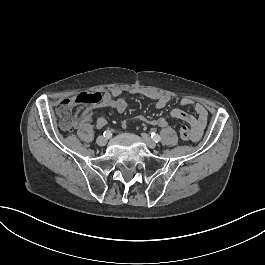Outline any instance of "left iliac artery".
I'll return each mask as SVG.
<instances>
[{
	"label": "left iliac artery",
	"mask_w": 265,
	"mask_h": 265,
	"mask_svg": "<svg viewBox=\"0 0 265 265\" xmlns=\"http://www.w3.org/2000/svg\"><path fill=\"white\" fill-rule=\"evenodd\" d=\"M151 138L157 143V142H160L161 141V137L156 134L155 132H152L151 133Z\"/></svg>",
	"instance_id": "left-iliac-artery-1"
}]
</instances>
